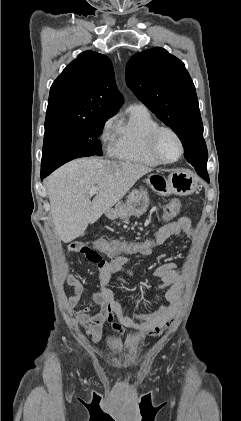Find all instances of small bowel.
Here are the masks:
<instances>
[{"label": "small bowel", "mask_w": 241, "mask_h": 421, "mask_svg": "<svg viewBox=\"0 0 241 421\" xmlns=\"http://www.w3.org/2000/svg\"><path fill=\"white\" fill-rule=\"evenodd\" d=\"M181 233L191 234L192 223L189 216L185 215L179 219L163 225L158 230L152 232L151 238H159L160 243ZM72 252L68 247L67 253ZM151 252L142 254L148 257ZM128 259L124 255L111 256L108 262L98 266L97 276L99 288L93 292V301L100 307L98 313H92L89 307L79 311H72L75 323L85 331L92 341L97 342L102 338L103 325L108 323L111 328L120 335L127 333L128 329H136L143 335H159L168 328L178 309L179 299L183 290L181 276L176 272V265L173 262H166L159 265L154 275L161 280V283L153 291L157 295L165 291L166 304L158 307L151 313L129 312L118 299L119 290L125 288L123 279H114L113 275L125 271L128 276H132L134 271L126 268ZM114 284L110 289L108 285ZM66 286L73 287V294L69 298L67 305L73 309L81 295L87 290L86 286L76 277L69 275L65 280Z\"/></svg>", "instance_id": "obj_1"}]
</instances>
